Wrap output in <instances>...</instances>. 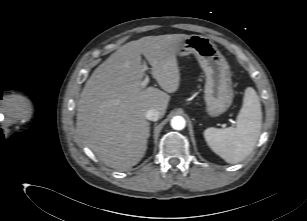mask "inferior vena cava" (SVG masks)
I'll return each mask as SVG.
<instances>
[{
	"mask_svg": "<svg viewBox=\"0 0 307 221\" xmlns=\"http://www.w3.org/2000/svg\"><path fill=\"white\" fill-rule=\"evenodd\" d=\"M160 117L161 115L156 109H149L145 114V118L150 121H157Z\"/></svg>",
	"mask_w": 307,
	"mask_h": 221,
	"instance_id": "inferior-vena-cava-1",
	"label": "inferior vena cava"
}]
</instances>
